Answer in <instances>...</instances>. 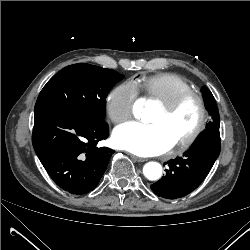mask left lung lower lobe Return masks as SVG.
Wrapping results in <instances>:
<instances>
[{
  "label": "left lung lower lobe",
  "mask_w": 250,
  "mask_h": 250,
  "mask_svg": "<svg viewBox=\"0 0 250 250\" xmlns=\"http://www.w3.org/2000/svg\"><path fill=\"white\" fill-rule=\"evenodd\" d=\"M218 129L204 130L182 157L168 161L166 175L151 185L152 191L168 199L181 198L203 181L220 153Z\"/></svg>",
  "instance_id": "0a47b994"
}]
</instances>
